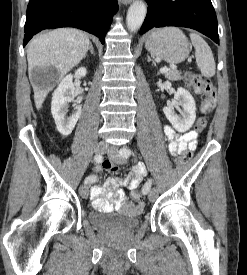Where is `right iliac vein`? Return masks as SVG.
<instances>
[{
  "mask_svg": "<svg viewBox=\"0 0 247 275\" xmlns=\"http://www.w3.org/2000/svg\"><path fill=\"white\" fill-rule=\"evenodd\" d=\"M94 150L96 154L102 155L108 150V144L106 142H99ZM79 193L83 198H86L89 193V185L87 183L82 184L79 188Z\"/></svg>",
  "mask_w": 247,
  "mask_h": 275,
  "instance_id": "1",
  "label": "right iliac vein"
}]
</instances>
